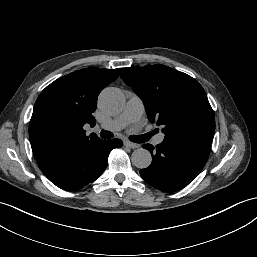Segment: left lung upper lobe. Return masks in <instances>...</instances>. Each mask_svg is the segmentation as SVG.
Returning a JSON list of instances; mask_svg holds the SVG:
<instances>
[{
  "mask_svg": "<svg viewBox=\"0 0 257 257\" xmlns=\"http://www.w3.org/2000/svg\"><path fill=\"white\" fill-rule=\"evenodd\" d=\"M120 75L144 102L149 120L163 126L164 139L214 137L213 110L191 76L161 64L122 68Z\"/></svg>",
  "mask_w": 257,
  "mask_h": 257,
  "instance_id": "5c2ea615",
  "label": "left lung upper lobe"
}]
</instances>
